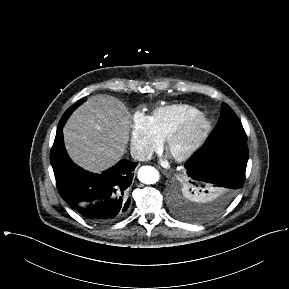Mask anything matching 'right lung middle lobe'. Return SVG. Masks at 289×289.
Segmentation results:
<instances>
[{
	"mask_svg": "<svg viewBox=\"0 0 289 289\" xmlns=\"http://www.w3.org/2000/svg\"><path fill=\"white\" fill-rule=\"evenodd\" d=\"M82 103H83V100L78 102V103H76L75 105L71 106L70 108H68L66 110V112L63 114V116H62V118H61V120H60V122L58 124V127L60 125H63L65 123V121L67 120V118L69 117V115L73 112V110H75Z\"/></svg>",
	"mask_w": 289,
	"mask_h": 289,
	"instance_id": "right-lung-middle-lobe-1",
	"label": "right lung middle lobe"
}]
</instances>
